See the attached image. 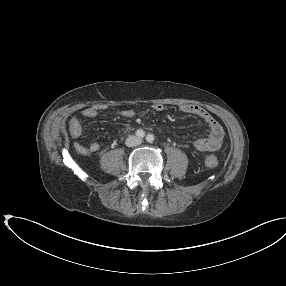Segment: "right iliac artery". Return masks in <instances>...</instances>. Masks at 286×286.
Instances as JSON below:
<instances>
[{"instance_id": "obj_1", "label": "right iliac artery", "mask_w": 286, "mask_h": 286, "mask_svg": "<svg viewBox=\"0 0 286 286\" xmlns=\"http://www.w3.org/2000/svg\"><path fill=\"white\" fill-rule=\"evenodd\" d=\"M136 136H137L138 138H144L145 132H144L142 129H138V130L136 131Z\"/></svg>"}]
</instances>
